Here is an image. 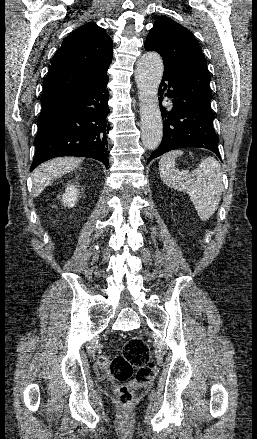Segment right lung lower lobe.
<instances>
[{"label":"right lung lower lobe","mask_w":257,"mask_h":439,"mask_svg":"<svg viewBox=\"0 0 257 439\" xmlns=\"http://www.w3.org/2000/svg\"><path fill=\"white\" fill-rule=\"evenodd\" d=\"M108 80L106 75L95 83L41 101L30 171L61 156L94 158L108 168Z\"/></svg>","instance_id":"98d812e1"}]
</instances>
